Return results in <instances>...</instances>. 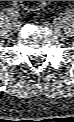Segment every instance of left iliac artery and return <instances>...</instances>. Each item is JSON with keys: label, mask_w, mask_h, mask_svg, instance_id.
<instances>
[{"label": "left iliac artery", "mask_w": 74, "mask_h": 122, "mask_svg": "<svg viewBox=\"0 0 74 122\" xmlns=\"http://www.w3.org/2000/svg\"><path fill=\"white\" fill-rule=\"evenodd\" d=\"M59 27H62V22H58Z\"/></svg>", "instance_id": "44dca946"}]
</instances>
